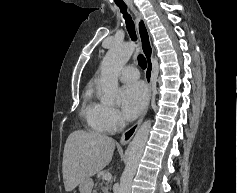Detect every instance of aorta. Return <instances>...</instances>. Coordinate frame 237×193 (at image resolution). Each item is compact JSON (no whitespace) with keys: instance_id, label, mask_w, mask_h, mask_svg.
I'll return each mask as SVG.
<instances>
[{"instance_id":"obj_1","label":"aorta","mask_w":237,"mask_h":193,"mask_svg":"<svg viewBox=\"0 0 237 193\" xmlns=\"http://www.w3.org/2000/svg\"><path fill=\"white\" fill-rule=\"evenodd\" d=\"M131 42L115 43L103 58L100 66L99 85L102 91V101L114 103L119 96L118 73L134 52ZM151 128V121L146 120L137 130L128 151V160L120 178L117 193H130L134 175L143 155Z\"/></svg>"}]
</instances>
